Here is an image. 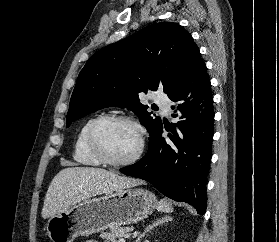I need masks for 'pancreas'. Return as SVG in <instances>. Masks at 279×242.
<instances>
[{
    "label": "pancreas",
    "mask_w": 279,
    "mask_h": 242,
    "mask_svg": "<svg viewBox=\"0 0 279 242\" xmlns=\"http://www.w3.org/2000/svg\"><path fill=\"white\" fill-rule=\"evenodd\" d=\"M132 230V227H114L111 228L108 232L101 233L100 237L102 239H105V242H118L117 239L130 236Z\"/></svg>",
    "instance_id": "cf45deb5"
}]
</instances>
